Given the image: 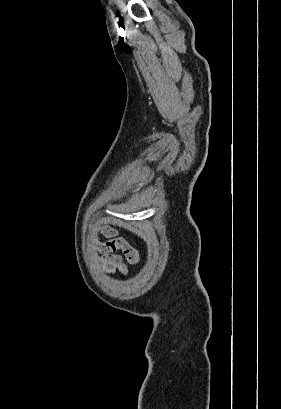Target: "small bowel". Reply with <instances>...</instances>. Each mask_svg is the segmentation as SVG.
Masks as SVG:
<instances>
[{
    "label": "small bowel",
    "instance_id": "1",
    "mask_svg": "<svg viewBox=\"0 0 281 409\" xmlns=\"http://www.w3.org/2000/svg\"><path fill=\"white\" fill-rule=\"evenodd\" d=\"M91 232L94 235H97L100 232V229L97 226H94L91 229ZM103 234L105 237L109 238V240L102 242L96 237L92 238V244L102 253L100 261L103 268L110 274L119 272L123 275H127V265L124 263L123 258L115 252L121 250L125 254L128 265L130 267H135L140 256L139 251L134 250L130 243H127L122 238L118 237L117 232L109 227L103 229Z\"/></svg>",
    "mask_w": 281,
    "mask_h": 409
}]
</instances>
